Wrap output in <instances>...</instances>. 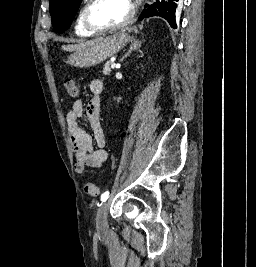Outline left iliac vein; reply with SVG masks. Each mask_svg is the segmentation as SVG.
Returning a JSON list of instances; mask_svg holds the SVG:
<instances>
[{
	"label": "left iliac vein",
	"instance_id": "obj_1",
	"mask_svg": "<svg viewBox=\"0 0 256 267\" xmlns=\"http://www.w3.org/2000/svg\"><path fill=\"white\" fill-rule=\"evenodd\" d=\"M109 201H105L98 209L96 216V225L99 230H104L107 228V211H108Z\"/></svg>",
	"mask_w": 256,
	"mask_h": 267
}]
</instances>
